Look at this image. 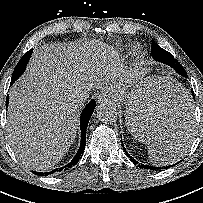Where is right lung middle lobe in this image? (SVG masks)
I'll use <instances>...</instances> for the list:
<instances>
[{
    "label": "right lung middle lobe",
    "instance_id": "obj_1",
    "mask_svg": "<svg viewBox=\"0 0 203 203\" xmlns=\"http://www.w3.org/2000/svg\"><path fill=\"white\" fill-rule=\"evenodd\" d=\"M24 71H25V68L17 65L13 72L11 81L15 82L23 74Z\"/></svg>",
    "mask_w": 203,
    "mask_h": 203
}]
</instances>
